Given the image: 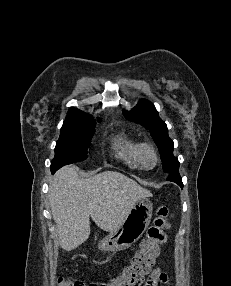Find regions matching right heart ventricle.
<instances>
[{
  "label": "right heart ventricle",
  "instance_id": "1",
  "mask_svg": "<svg viewBox=\"0 0 231 286\" xmlns=\"http://www.w3.org/2000/svg\"><path fill=\"white\" fill-rule=\"evenodd\" d=\"M141 142L132 136L122 133L117 135L112 141L114 156L130 168H141L139 161V151Z\"/></svg>",
  "mask_w": 231,
  "mask_h": 286
}]
</instances>
